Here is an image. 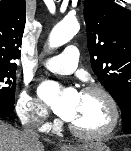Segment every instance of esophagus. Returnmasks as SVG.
Masks as SVG:
<instances>
[{
	"label": "esophagus",
	"instance_id": "obj_1",
	"mask_svg": "<svg viewBox=\"0 0 131 151\" xmlns=\"http://www.w3.org/2000/svg\"><path fill=\"white\" fill-rule=\"evenodd\" d=\"M68 147H69V146H68V145H65V144L62 146L63 149H67Z\"/></svg>",
	"mask_w": 131,
	"mask_h": 151
}]
</instances>
